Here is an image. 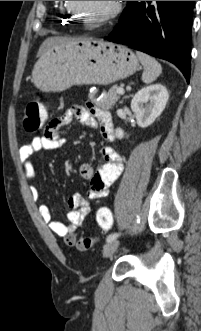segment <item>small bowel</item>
I'll list each match as a JSON object with an SVG mask.
<instances>
[{"instance_id": "small-bowel-1", "label": "small bowel", "mask_w": 201, "mask_h": 331, "mask_svg": "<svg viewBox=\"0 0 201 331\" xmlns=\"http://www.w3.org/2000/svg\"><path fill=\"white\" fill-rule=\"evenodd\" d=\"M73 120H77L89 127L98 128L102 137L112 142L114 139L113 122L109 112L99 109L92 104L87 106L74 105L68 108L60 117L52 119L45 127L43 134L34 137L28 144L19 149V158L26 179L31 183L30 192L34 200L40 199V191L33 184L36 173L32 156L39 151H51L62 148L64 139L60 129ZM102 165L93 171L90 164L84 163L79 168L82 178L89 181V190L86 197L74 194L69 197L67 204V223L56 221L52 218L51 211L46 204L39 206V213L51 231L64 239L68 246H76L81 238L77 232L82 226L85 217L90 212L89 199L102 198L107 195L108 188L120 176L123 170L120 155L111 147L105 146L101 150Z\"/></svg>"}]
</instances>
